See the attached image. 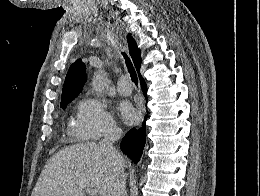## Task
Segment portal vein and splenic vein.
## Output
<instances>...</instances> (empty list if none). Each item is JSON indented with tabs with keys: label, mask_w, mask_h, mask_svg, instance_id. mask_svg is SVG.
Returning a JSON list of instances; mask_svg holds the SVG:
<instances>
[{
	"label": "portal vein and splenic vein",
	"mask_w": 260,
	"mask_h": 196,
	"mask_svg": "<svg viewBox=\"0 0 260 196\" xmlns=\"http://www.w3.org/2000/svg\"><path fill=\"white\" fill-rule=\"evenodd\" d=\"M85 192L86 194H88V196H98L97 192H95V190H92V188H85Z\"/></svg>",
	"instance_id": "obj_1"
}]
</instances>
